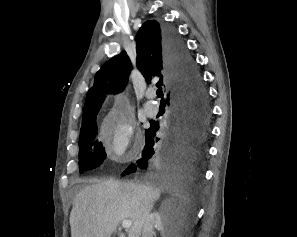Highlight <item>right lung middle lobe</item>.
I'll return each instance as SVG.
<instances>
[{"label":"right lung middle lobe","mask_w":297,"mask_h":237,"mask_svg":"<svg viewBox=\"0 0 297 237\" xmlns=\"http://www.w3.org/2000/svg\"><path fill=\"white\" fill-rule=\"evenodd\" d=\"M79 169L83 171L100 165L106 153L97 136L96 123L81 130L79 139Z\"/></svg>","instance_id":"right-lung-middle-lobe-1"}]
</instances>
